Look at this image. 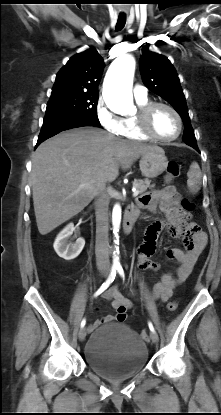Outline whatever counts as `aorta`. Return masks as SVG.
Segmentation results:
<instances>
[{
    "mask_svg": "<svg viewBox=\"0 0 221 415\" xmlns=\"http://www.w3.org/2000/svg\"><path fill=\"white\" fill-rule=\"evenodd\" d=\"M135 72V59L126 54L117 58L109 67L103 83V99L109 109L123 114L133 107L132 84ZM121 223V206L115 204L112 211L113 233L118 243ZM114 264H118L115 259Z\"/></svg>",
    "mask_w": 221,
    "mask_h": 415,
    "instance_id": "1",
    "label": "aorta"
}]
</instances>
